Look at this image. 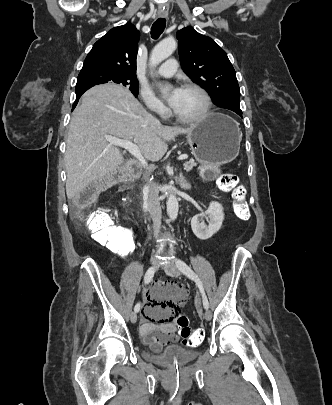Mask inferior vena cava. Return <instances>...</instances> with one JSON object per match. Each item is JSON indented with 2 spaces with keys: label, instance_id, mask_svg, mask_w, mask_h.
<instances>
[{
  "label": "inferior vena cava",
  "instance_id": "1",
  "mask_svg": "<svg viewBox=\"0 0 332 405\" xmlns=\"http://www.w3.org/2000/svg\"><path fill=\"white\" fill-rule=\"evenodd\" d=\"M150 214L153 219L155 227L159 228L161 223L162 211L158 201V188L152 182H149V193L146 198Z\"/></svg>",
  "mask_w": 332,
  "mask_h": 405
}]
</instances>
